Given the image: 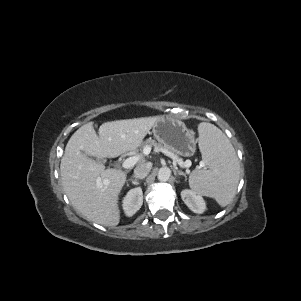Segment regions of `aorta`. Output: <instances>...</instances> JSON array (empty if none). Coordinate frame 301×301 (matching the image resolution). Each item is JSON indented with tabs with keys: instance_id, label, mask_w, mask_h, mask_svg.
<instances>
[{
	"instance_id": "obj_1",
	"label": "aorta",
	"mask_w": 301,
	"mask_h": 301,
	"mask_svg": "<svg viewBox=\"0 0 301 301\" xmlns=\"http://www.w3.org/2000/svg\"><path fill=\"white\" fill-rule=\"evenodd\" d=\"M171 177V170L168 167H161L158 171L157 178L161 182H166Z\"/></svg>"
}]
</instances>
